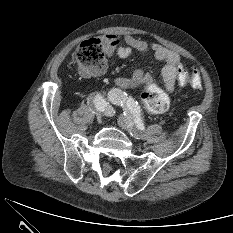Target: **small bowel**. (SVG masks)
<instances>
[{
    "label": "small bowel",
    "instance_id": "c3829d8e",
    "mask_svg": "<svg viewBox=\"0 0 233 233\" xmlns=\"http://www.w3.org/2000/svg\"><path fill=\"white\" fill-rule=\"evenodd\" d=\"M104 43L107 57L117 54L121 58H126L134 51L146 54L151 50L155 59L163 63L162 77L166 90L168 92L174 91L177 75L179 69H181L180 57L176 52L157 43L149 46L145 41L129 35H107ZM103 71L104 67L96 74H100ZM148 78V75L144 74L141 69H137L132 76L119 78L117 82L121 86L132 87L148 80Z\"/></svg>",
    "mask_w": 233,
    "mask_h": 233
}]
</instances>
